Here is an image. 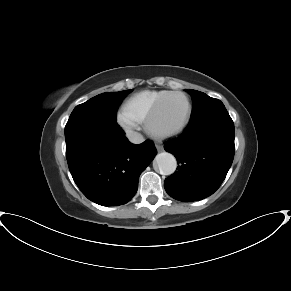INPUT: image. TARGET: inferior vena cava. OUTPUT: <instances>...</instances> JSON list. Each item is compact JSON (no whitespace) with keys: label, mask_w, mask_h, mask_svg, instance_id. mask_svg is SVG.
I'll use <instances>...</instances> for the list:
<instances>
[{"label":"inferior vena cava","mask_w":291,"mask_h":291,"mask_svg":"<svg viewBox=\"0 0 291 291\" xmlns=\"http://www.w3.org/2000/svg\"><path fill=\"white\" fill-rule=\"evenodd\" d=\"M127 138L131 143L134 144H140L144 141L143 136L140 133L134 131H130L129 133H127Z\"/></svg>","instance_id":"1"}]
</instances>
